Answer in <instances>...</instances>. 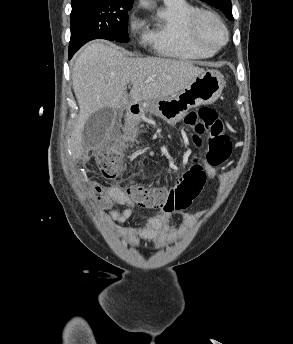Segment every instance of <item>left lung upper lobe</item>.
<instances>
[{"instance_id":"left-lung-upper-lobe-1","label":"left lung upper lobe","mask_w":293,"mask_h":344,"mask_svg":"<svg viewBox=\"0 0 293 344\" xmlns=\"http://www.w3.org/2000/svg\"><path fill=\"white\" fill-rule=\"evenodd\" d=\"M208 3L210 6L220 9L224 12L227 18L233 19L231 0H201Z\"/></svg>"}]
</instances>
